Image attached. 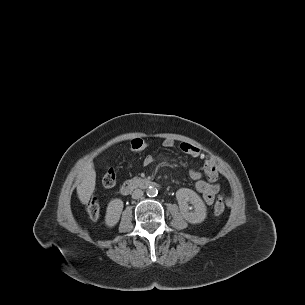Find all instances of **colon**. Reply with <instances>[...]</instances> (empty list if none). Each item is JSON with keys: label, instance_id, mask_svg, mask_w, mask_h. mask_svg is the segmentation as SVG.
Here are the masks:
<instances>
[{"label": "colon", "instance_id": "1", "mask_svg": "<svg viewBox=\"0 0 305 305\" xmlns=\"http://www.w3.org/2000/svg\"><path fill=\"white\" fill-rule=\"evenodd\" d=\"M149 146V143L144 138H134L130 142V149L134 153H141L145 151ZM103 186L106 188H111L116 183V173L114 170H109L102 179ZM225 209V201L224 196L219 195L215 201L214 204V213L215 214H221ZM87 214L93 221H98L101 217V209L99 207V204L92 200L89 205L87 206Z\"/></svg>", "mask_w": 305, "mask_h": 305}]
</instances>
